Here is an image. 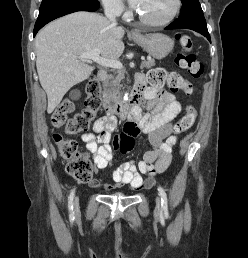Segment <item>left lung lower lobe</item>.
Masks as SVG:
<instances>
[{
  "label": "left lung lower lobe",
  "mask_w": 248,
  "mask_h": 258,
  "mask_svg": "<svg viewBox=\"0 0 248 258\" xmlns=\"http://www.w3.org/2000/svg\"><path fill=\"white\" fill-rule=\"evenodd\" d=\"M181 28L182 29H191L196 32H199L200 34L204 35L211 42L204 16L194 17L187 21L176 20V21L172 22L169 26H167L165 28V30L181 29Z\"/></svg>",
  "instance_id": "obj_1"
}]
</instances>
